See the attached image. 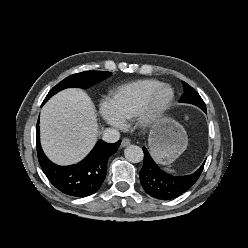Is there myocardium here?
<instances>
[{
	"label": "myocardium",
	"mask_w": 248,
	"mask_h": 248,
	"mask_svg": "<svg viewBox=\"0 0 248 248\" xmlns=\"http://www.w3.org/2000/svg\"><path fill=\"white\" fill-rule=\"evenodd\" d=\"M164 92H168L165 99L161 98ZM175 94L168 84H160L149 96L147 102L136 117V123L141 128L150 127L153 122L167 111L173 103Z\"/></svg>",
	"instance_id": "f54148a6"
}]
</instances>
